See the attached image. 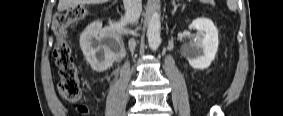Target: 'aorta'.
Wrapping results in <instances>:
<instances>
[{
  "label": "aorta",
  "mask_w": 283,
  "mask_h": 116,
  "mask_svg": "<svg viewBox=\"0 0 283 116\" xmlns=\"http://www.w3.org/2000/svg\"><path fill=\"white\" fill-rule=\"evenodd\" d=\"M161 22L160 15L156 10H152L148 20L147 38L151 50L156 51L161 44L160 37Z\"/></svg>",
  "instance_id": "1"
}]
</instances>
